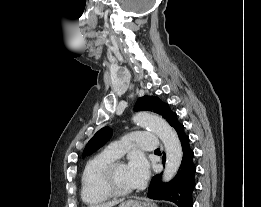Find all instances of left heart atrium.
I'll list each match as a JSON object with an SVG mask.
<instances>
[{
    "instance_id": "left-heart-atrium-1",
    "label": "left heart atrium",
    "mask_w": 261,
    "mask_h": 207,
    "mask_svg": "<svg viewBox=\"0 0 261 207\" xmlns=\"http://www.w3.org/2000/svg\"><path fill=\"white\" fill-rule=\"evenodd\" d=\"M132 188L142 186L149 174V164L141 154H134L126 165Z\"/></svg>"
}]
</instances>
